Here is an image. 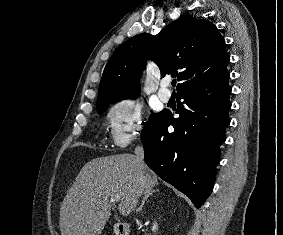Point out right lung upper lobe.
<instances>
[{
    "mask_svg": "<svg viewBox=\"0 0 283 235\" xmlns=\"http://www.w3.org/2000/svg\"><path fill=\"white\" fill-rule=\"evenodd\" d=\"M148 57L159 66L161 77L177 76V91L223 74L230 61L213 23L182 15L157 35H136L115 50L105 66L97 103L136 97Z\"/></svg>",
    "mask_w": 283,
    "mask_h": 235,
    "instance_id": "right-lung-upper-lobe-1",
    "label": "right lung upper lobe"
}]
</instances>
